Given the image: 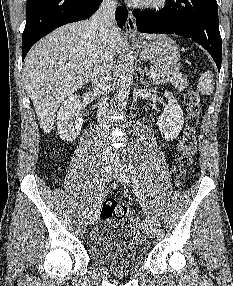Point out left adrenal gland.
Returning a JSON list of instances; mask_svg holds the SVG:
<instances>
[{"label": "left adrenal gland", "instance_id": "obj_1", "mask_svg": "<svg viewBox=\"0 0 233 286\" xmlns=\"http://www.w3.org/2000/svg\"><path fill=\"white\" fill-rule=\"evenodd\" d=\"M140 82L142 85H147V81L144 79V70L140 73Z\"/></svg>", "mask_w": 233, "mask_h": 286}]
</instances>
